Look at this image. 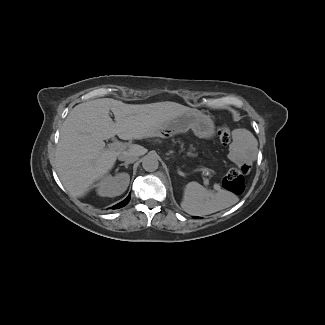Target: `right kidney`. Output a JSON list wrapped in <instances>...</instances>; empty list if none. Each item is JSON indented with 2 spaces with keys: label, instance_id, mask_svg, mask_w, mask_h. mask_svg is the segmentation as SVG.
Returning <instances> with one entry per match:
<instances>
[{
  "label": "right kidney",
  "instance_id": "ca27d5eb",
  "mask_svg": "<svg viewBox=\"0 0 325 325\" xmlns=\"http://www.w3.org/2000/svg\"><path fill=\"white\" fill-rule=\"evenodd\" d=\"M130 177L127 173L115 176L106 174L97 183V194L102 197H116L124 193L129 185Z\"/></svg>",
  "mask_w": 325,
  "mask_h": 325
}]
</instances>
